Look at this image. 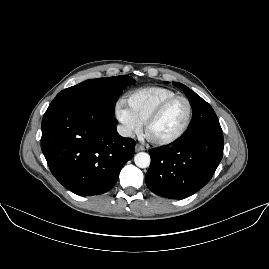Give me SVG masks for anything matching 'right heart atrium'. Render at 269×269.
I'll list each match as a JSON object with an SVG mask.
<instances>
[{
  "label": "right heart atrium",
  "instance_id": "d8ad5b80",
  "mask_svg": "<svg viewBox=\"0 0 269 269\" xmlns=\"http://www.w3.org/2000/svg\"><path fill=\"white\" fill-rule=\"evenodd\" d=\"M115 114L117 119L122 123L124 131L127 134H137L141 131L142 126L131 114L129 109L125 107V103L121 99L116 103Z\"/></svg>",
  "mask_w": 269,
  "mask_h": 269
}]
</instances>
